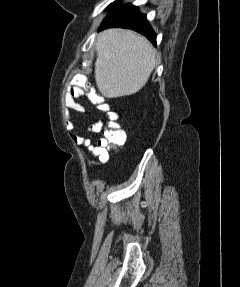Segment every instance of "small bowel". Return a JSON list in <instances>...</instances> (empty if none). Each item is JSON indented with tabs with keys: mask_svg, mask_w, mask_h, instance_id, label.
Returning a JSON list of instances; mask_svg holds the SVG:
<instances>
[{
	"mask_svg": "<svg viewBox=\"0 0 240 287\" xmlns=\"http://www.w3.org/2000/svg\"><path fill=\"white\" fill-rule=\"evenodd\" d=\"M85 96L83 88L76 84V79H74L71 85L66 89L63 102L67 109L73 110L77 113H83L85 107L79 102L81 98ZM93 101L92 97L90 96ZM103 129V121L99 120L95 123H92L87 131L89 133L97 134ZM73 140L78 143L85 144L89 147L91 152L99 158L101 162H106L108 160V151H107V142L104 138L98 140L96 144H93L89 139L81 138L78 136H73Z\"/></svg>",
	"mask_w": 240,
	"mask_h": 287,
	"instance_id": "1",
	"label": "small bowel"
}]
</instances>
